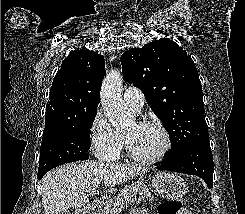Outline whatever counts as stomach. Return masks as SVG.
Instances as JSON below:
<instances>
[{
    "label": "stomach",
    "mask_w": 245,
    "mask_h": 214,
    "mask_svg": "<svg viewBox=\"0 0 245 214\" xmlns=\"http://www.w3.org/2000/svg\"><path fill=\"white\" fill-rule=\"evenodd\" d=\"M152 187L162 197L172 200L182 198L188 191L184 179L174 173L160 172L152 179Z\"/></svg>",
    "instance_id": "0dacf381"
}]
</instances>
